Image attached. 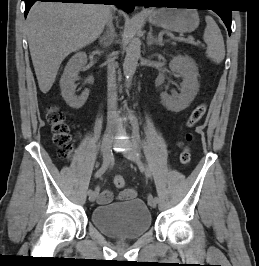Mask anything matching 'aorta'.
I'll return each instance as SVG.
<instances>
[{
    "instance_id": "1",
    "label": "aorta",
    "mask_w": 259,
    "mask_h": 266,
    "mask_svg": "<svg viewBox=\"0 0 259 266\" xmlns=\"http://www.w3.org/2000/svg\"><path fill=\"white\" fill-rule=\"evenodd\" d=\"M139 29V23L133 20L131 26V38L126 50V56L123 63V72L126 77L127 85H130L132 81V77L135 74L138 60L141 54V41L140 38L136 36Z\"/></svg>"
}]
</instances>
